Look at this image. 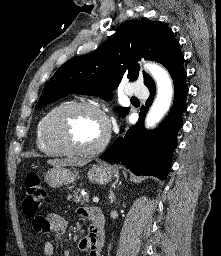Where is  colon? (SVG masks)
I'll list each match as a JSON object with an SVG mask.
<instances>
[{"instance_id":"5ec220e1","label":"colon","mask_w":221,"mask_h":256,"mask_svg":"<svg viewBox=\"0 0 221 256\" xmlns=\"http://www.w3.org/2000/svg\"><path fill=\"white\" fill-rule=\"evenodd\" d=\"M25 198L23 207L28 217H35L46 199V191L36 173H29L25 179Z\"/></svg>"}]
</instances>
